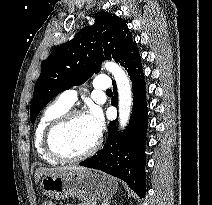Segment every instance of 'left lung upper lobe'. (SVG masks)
Returning a JSON list of instances; mask_svg holds the SVG:
<instances>
[{
  "label": "left lung upper lobe",
  "mask_w": 212,
  "mask_h": 205,
  "mask_svg": "<svg viewBox=\"0 0 212 205\" xmlns=\"http://www.w3.org/2000/svg\"><path fill=\"white\" fill-rule=\"evenodd\" d=\"M132 35L126 22L108 12H99L93 26L54 49L45 60L34 87L30 120L34 124L41 109L60 92L80 85L100 71L102 60L123 63L132 51Z\"/></svg>",
  "instance_id": "left-lung-upper-lobe-1"
}]
</instances>
